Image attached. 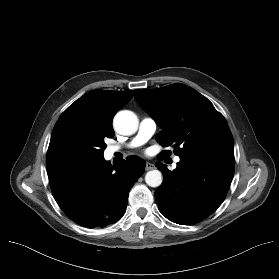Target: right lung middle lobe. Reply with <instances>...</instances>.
<instances>
[{
    "instance_id": "1",
    "label": "right lung middle lobe",
    "mask_w": 279,
    "mask_h": 279,
    "mask_svg": "<svg viewBox=\"0 0 279 279\" xmlns=\"http://www.w3.org/2000/svg\"><path fill=\"white\" fill-rule=\"evenodd\" d=\"M106 137L76 121L54 127L46 156L47 170L103 158Z\"/></svg>"
}]
</instances>
